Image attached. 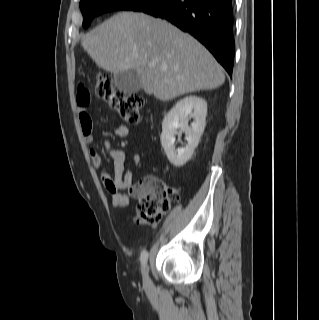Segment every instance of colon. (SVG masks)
Masks as SVG:
<instances>
[{
    "label": "colon",
    "instance_id": "1",
    "mask_svg": "<svg viewBox=\"0 0 319 320\" xmlns=\"http://www.w3.org/2000/svg\"><path fill=\"white\" fill-rule=\"evenodd\" d=\"M95 91L97 97L115 109L124 122L128 124L139 122L140 110L144 105L141 95L115 89L111 78L105 74L97 76ZM172 192L156 176H148L141 180L136 186L139 197L137 221L147 225L159 223L162 215L170 207Z\"/></svg>",
    "mask_w": 319,
    "mask_h": 320
}]
</instances>
